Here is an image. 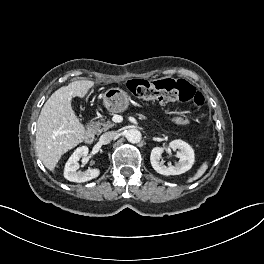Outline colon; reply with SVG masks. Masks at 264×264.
<instances>
[{"instance_id": "colon-1", "label": "colon", "mask_w": 264, "mask_h": 264, "mask_svg": "<svg viewBox=\"0 0 264 264\" xmlns=\"http://www.w3.org/2000/svg\"><path fill=\"white\" fill-rule=\"evenodd\" d=\"M126 87L133 95L146 101H158L161 104L191 102L197 108H201L204 104L202 94L185 80L147 81L134 79L128 81Z\"/></svg>"}]
</instances>
